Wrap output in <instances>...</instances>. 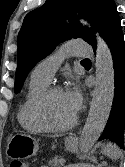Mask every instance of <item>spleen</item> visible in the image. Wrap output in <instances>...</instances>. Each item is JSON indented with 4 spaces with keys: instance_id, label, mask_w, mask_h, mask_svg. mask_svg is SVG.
Returning a JSON list of instances; mask_svg holds the SVG:
<instances>
[{
    "instance_id": "1",
    "label": "spleen",
    "mask_w": 125,
    "mask_h": 167,
    "mask_svg": "<svg viewBox=\"0 0 125 167\" xmlns=\"http://www.w3.org/2000/svg\"><path fill=\"white\" fill-rule=\"evenodd\" d=\"M101 153L111 158L112 160H117L122 155L121 150L111 142H108L106 145H102Z\"/></svg>"
}]
</instances>
